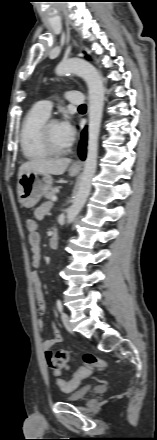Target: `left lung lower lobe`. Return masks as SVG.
I'll return each instance as SVG.
<instances>
[{"label": "left lung lower lobe", "mask_w": 157, "mask_h": 440, "mask_svg": "<svg viewBox=\"0 0 157 440\" xmlns=\"http://www.w3.org/2000/svg\"><path fill=\"white\" fill-rule=\"evenodd\" d=\"M86 146H87V127H85L81 132V141L79 142L78 154L82 160L86 157Z\"/></svg>", "instance_id": "0a47b994"}]
</instances>
